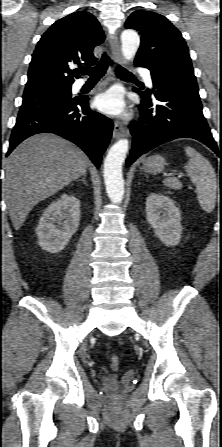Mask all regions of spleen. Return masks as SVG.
I'll use <instances>...</instances> for the list:
<instances>
[{"mask_svg":"<svg viewBox=\"0 0 222 447\" xmlns=\"http://www.w3.org/2000/svg\"><path fill=\"white\" fill-rule=\"evenodd\" d=\"M189 157L184 169L191 181L196 185L198 202L206 212H211L216 204L217 179L211 163L203 155L191 147L185 148ZM164 184L172 189H180L182 184L175 177L164 180Z\"/></svg>","mask_w":222,"mask_h":447,"instance_id":"1","label":"spleen"}]
</instances>
